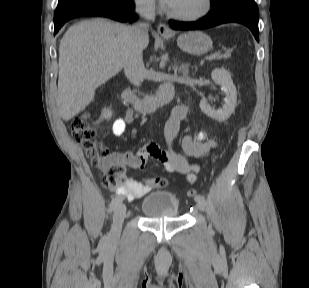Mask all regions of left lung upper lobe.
I'll list each match as a JSON object with an SVG mask.
<instances>
[{"label": "left lung upper lobe", "mask_w": 309, "mask_h": 288, "mask_svg": "<svg viewBox=\"0 0 309 288\" xmlns=\"http://www.w3.org/2000/svg\"><path fill=\"white\" fill-rule=\"evenodd\" d=\"M224 0H211V7H215L217 5H219L221 2H223Z\"/></svg>", "instance_id": "obj_1"}]
</instances>
